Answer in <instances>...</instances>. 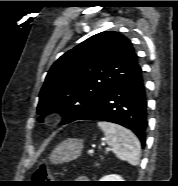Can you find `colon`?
I'll return each mask as SVG.
<instances>
[{"label": "colon", "instance_id": "obj_1", "mask_svg": "<svg viewBox=\"0 0 178 186\" xmlns=\"http://www.w3.org/2000/svg\"><path fill=\"white\" fill-rule=\"evenodd\" d=\"M35 179L39 181H47L50 179V171L45 162H43L36 171Z\"/></svg>", "mask_w": 178, "mask_h": 186}]
</instances>
